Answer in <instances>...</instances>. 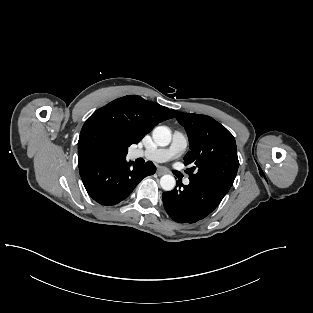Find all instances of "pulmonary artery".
Masks as SVG:
<instances>
[{
	"label": "pulmonary artery",
	"instance_id": "1",
	"mask_svg": "<svg viewBox=\"0 0 313 313\" xmlns=\"http://www.w3.org/2000/svg\"><path fill=\"white\" fill-rule=\"evenodd\" d=\"M188 146V139L186 135L180 131L173 133L171 144L166 148H156L147 150L133 151L134 157H144L155 162H165L181 155ZM190 183L189 178L184 180V184Z\"/></svg>",
	"mask_w": 313,
	"mask_h": 313
}]
</instances>
